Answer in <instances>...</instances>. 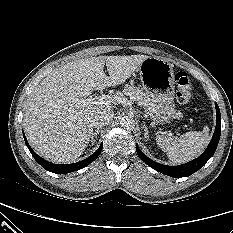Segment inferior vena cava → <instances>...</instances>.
<instances>
[{
	"label": "inferior vena cava",
	"mask_w": 233,
	"mask_h": 233,
	"mask_svg": "<svg viewBox=\"0 0 233 233\" xmlns=\"http://www.w3.org/2000/svg\"><path fill=\"white\" fill-rule=\"evenodd\" d=\"M114 117V113L111 110L101 109L93 117V126L99 128L108 125Z\"/></svg>",
	"instance_id": "inferior-vena-cava-1"
}]
</instances>
